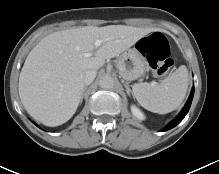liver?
<instances>
[{
    "mask_svg": "<svg viewBox=\"0 0 219 174\" xmlns=\"http://www.w3.org/2000/svg\"><path fill=\"white\" fill-rule=\"evenodd\" d=\"M151 31L125 25L84 26L46 36L30 51L20 73L18 89L24 108L46 126L67 122L81 99L82 74L97 71L105 60L119 56ZM96 40H102L98 48ZM88 52L94 56L84 57Z\"/></svg>",
    "mask_w": 219,
    "mask_h": 174,
    "instance_id": "obj_1",
    "label": "liver"
}]
</instances>
